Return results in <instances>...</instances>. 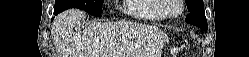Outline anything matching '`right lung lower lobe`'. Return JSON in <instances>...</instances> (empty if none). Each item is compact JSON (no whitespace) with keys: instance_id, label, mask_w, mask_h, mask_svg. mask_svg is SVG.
Instances as JSON below:
<instances>
[{"instance_id":"98d812e1","label":"right lung lower lobe","mask_w":249,"mask_h":57,"mask_svg":"<svg viewBox=\"0 0 249 57\" xmlns=\"http://www.w3.org/2000/svg\"><path fill=\"white\" fill-rule=\"evenodd\" d=\"M60 11L54 10V15H57Z\"/></svg>"}]
</instances>
